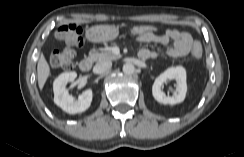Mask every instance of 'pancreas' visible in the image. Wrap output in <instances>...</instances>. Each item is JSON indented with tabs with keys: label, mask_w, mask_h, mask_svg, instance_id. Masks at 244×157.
I'll return each mask as SVG.
<instances>
[{
	"label": "pancreas",
	"mask_w": 244,
	"mask_h": 157,
	"mask_svg": "<svg viewBox=\"0 0 244 157\" xmlns=\"http://www.w3.org/2000/svg\"><path fill=\"white\" fill-rule=\"evenodd\" d=\"M121 56L120 55H115L113 54L110 50H106L103 52H93L89 55V58H91L95 62H101V61H106V60H117Z\"/></svg>",
	"instance_id": "pancreas-1"
}]
</instances>
